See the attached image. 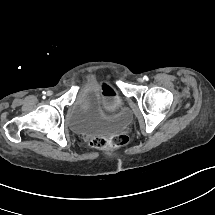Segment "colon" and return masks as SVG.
Listing matches in <instances>:
<instances>
[{
  "mask_svg": "<svg viewBox=\"0 0 215 215\" xmlns=\"http://www.w3.org/2000/svg\"><path fill=\"white\" fill-rule=\"evenodd\" d=\"M127 137L123 134H115L111 136L94 137L91 141L92 147L96 149L118 148L126 145Z\"/></svg>",
  "mask_w": 215,
  "mask_h": 215,
  "instance_id": "colon-1",
  "label": "colon"
}]
</instances>
